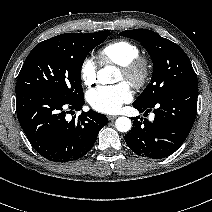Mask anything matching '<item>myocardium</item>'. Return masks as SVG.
<instances>
[{"instance_id":"myocardium-1","label":"myocardium","mask_w":212,"mask_h":212,"mask_svg":"<svg viewBox=\"0 0 212 212\" xmlns=\"http://www.w3.org/2000/svg\"><path fill=\"white\" fill-rule=\"evenodd\" d=\"M125 80L136 89L147 85L151 77V64L145 57L137 56L125 65L120 66Z\"/></svg>"}]
</instances>
